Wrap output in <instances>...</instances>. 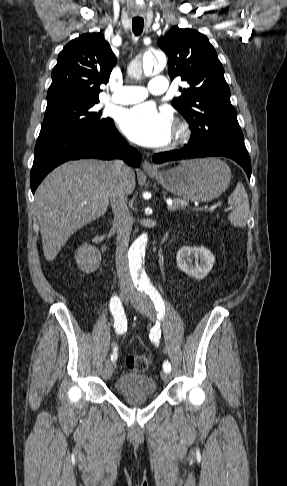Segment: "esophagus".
I'll return each mask as SVG.
<instances>
[{
  "label": "esophagus",
  "instance_id": "1",
  "mask_svg": "<svg viewBox=\"0 0 287 486\" xmlns=\"http://www.w3.org/2000/svg\"><path fill=\"white\" fill-rule=\"evenodd\" d=\"M143 170L146 172L157 171V168L148 160L143 162Z\"/></svg>",
  "mask_w": 287,
  "mask_h": 486
}]
</instances>
